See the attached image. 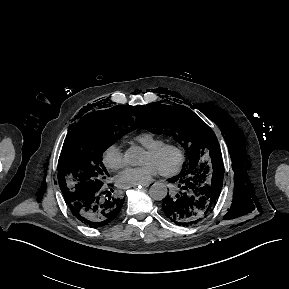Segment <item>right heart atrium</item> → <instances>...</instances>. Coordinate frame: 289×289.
<instances>
[{
  "label": "right heart atrium",
  "instance_id": "d8ad5b80",
  "mask_svg": "<svg viewBox=\"0 0 289 289\" xmlns=\"http://www.w3.org/2000/svg\"><path fill=\"white\" fill-rule=\"evenodd\" d=\"M103 164L112 170H117L124 166L125 158L121 146L118 143L108 145L102 152Z\"/></svg>",
  "mask_w": 289,
  "mask_h": 289
}]
</instances>
